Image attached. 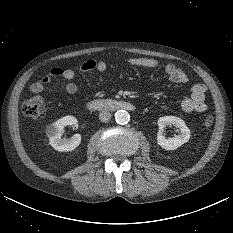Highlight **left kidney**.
Wrapping results in <instances>:
<instances>
[{"instance_id":"5707ae66","label":"left kidney","mask_w":233,"mask_h":233,"mask_svg":"<svg viewBox=\"0 0 233 233\" xmlns=\"http://www.w3.org/2000/svg\"><path fill=\"white\" fill-rule=\"evenodd\" d=\"M168 125H174L179 132L174 137L166 138L163 129ZM159 132L157 133V143L166 150H176L178 147L189 141L190 130L185 122L175 116H164L158 120Z\"/></svg>"}]
</instances>
